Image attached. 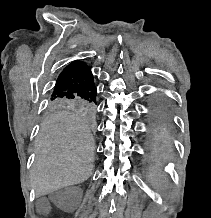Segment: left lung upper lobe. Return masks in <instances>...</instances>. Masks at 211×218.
<instances>
[{"label": "left lung upper lobe", "instance_id": "obj_1", "mask_svg": "<svg viewBox=\"0 0 211 218\" xmlns=\"http://www.w3.org/2000/svg\"><path fill=\"white\" fill-rule=\"evenodd\" d=\"M166 112V107L160 102H157L151 108V116L156 120L162 119L166 115Z\"/></svg>", "mask_w": 211, "mask_h": 218}]
</instances>
